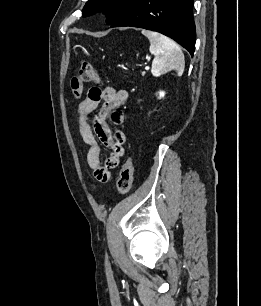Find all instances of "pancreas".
Wrapping results in <instances>:
<instances>
[{
  "mask_svg": "<svg viewBox=\"0 0 261 306\" xmlns=\"http://www.w3.org/2000/svg\"><path fill=\"white\" fill-rule=\"evenodd\" d=\"M142 75L144 76V75H145V72H143Z\"/></svg>",
  "mask_w": 261,
  "mask_h": 306,
  "instance_id": "obj_1",
  "label": "pancreas"
}]
</instances>
